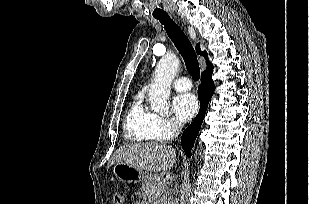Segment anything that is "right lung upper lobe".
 <instances>
[{
  "instance_id": "1",
  "label": "right lung upper lobe",
  "mask_w": 309,
  "mask_h": 204,
  "mask_svg": "<svg viewBox=\"0 0 309 204\" xmlns=\"http://www.w3.org/2000/svg\"><path fill=\"white\" fill-rule=\"evenodd\" d=\"M196 51H197L198 54L202 55L206 59L207 69L212 68L213 66L208 60L207 53L205 51L202 52L200 50V44L199 43L196 45Z\"/></svg>"
}]
</instances>
